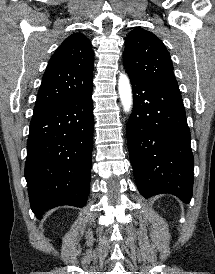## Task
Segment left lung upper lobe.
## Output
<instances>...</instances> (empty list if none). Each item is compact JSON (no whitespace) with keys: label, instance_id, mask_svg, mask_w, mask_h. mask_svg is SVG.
I'll use <instances>...</instances> for the list:
<instances>
[{"label":"left lung upper lobe","instance_id":"5c2ea615","mask_svg":"<svg viewBox=\"0 0 215 274\" xmlns=\"http://www.w3.org/2000/svg\"><path fill=\"white\" fill-rule=\"evenodd\" d=\"M123 63L129 76L180 94L170 55L153 33L133 29L125 40Z\"/></svg>","mask_w":215,"mask_h":274}]
</instances>
